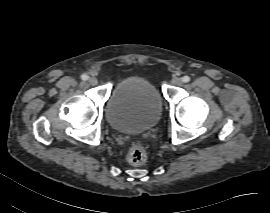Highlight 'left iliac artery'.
<instances>
[{
	"label": "left iliac artery",
	"mask_w": 270,
	"mask_h": 213,
	"mask_svg": "<svg viewBox=\"0 0 270 213\" xmlns=\"http://www.w3.org/2000/svg\"><path fill=\"white\" fill-rule=\"evenodd\" d=\"M182 81L185 82V83H188L190 81V77L189 76H184L182 78Z\"/></svg>",
	"instance_id": "obj_1"
}]
</instances>
